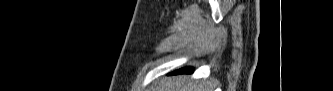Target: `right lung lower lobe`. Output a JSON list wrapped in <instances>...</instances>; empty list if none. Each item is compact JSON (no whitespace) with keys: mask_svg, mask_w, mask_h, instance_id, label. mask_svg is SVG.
<instances>
[{"mask_svg":"<svg viewBox=\"0 0 333 91\" xmlns=\"http://www.w3.org/2000/svg\"><path fill=\"white\" fill-rule=\"evenodd\" d=\"M192 71H193L192 68H183V69H181V70H178V71L173 72V74L183 73V72L190 73V72H192Z\"/></svg>","mask_w":333,"mask_h":91,"instance_id":"98d812e1","label":"right lung lower lobe"}]
</instances>
